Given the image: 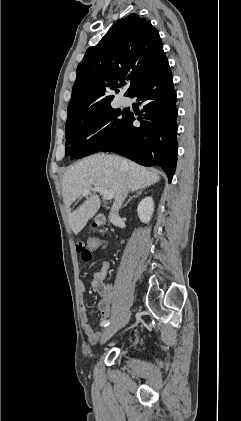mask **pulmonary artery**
<instances>
[{
    "label": "pulmonary artery",
    "mask_w": 241,
    "mask_h": 421,
    "mask_svg": "<svg viewBox=\"0 0 241 421\" xmlns=\"http://www.w3.org/2000/svg\"><path fill=\"white\" fill-rule=\"evenodd\" d=\"M121 103L123 105H128L130 103V99L128 97H122L121 98Z\"/></svg>",
    "instance_id": "pulmonary-artery-1"
}]
</instances>
